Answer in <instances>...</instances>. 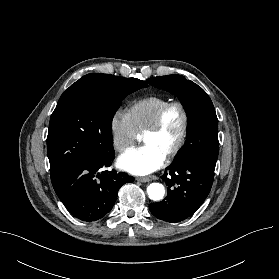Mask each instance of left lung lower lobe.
<instances>
[{
    "label": "left lung lower lobe",
    "instance_id": "obj_1",
    "mask_svg": "<svg viewBox=\"0 0 279 279\" xmlns=\"http://www.w3.org/2000/svg\"><path fill=\"white\" fill-rule=\"evenodd\" d=\"M167 184L168 194L158 203L149 205L158 219L176 223L191 216L208 196L214 170L194 162L171 164L161 177Z\"/></svg>",
    "mask_w": 279,
    "mask_h": 279
}]
</instances>
